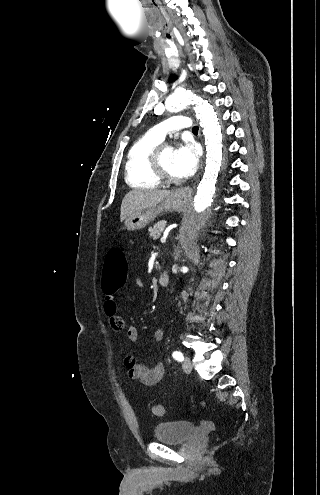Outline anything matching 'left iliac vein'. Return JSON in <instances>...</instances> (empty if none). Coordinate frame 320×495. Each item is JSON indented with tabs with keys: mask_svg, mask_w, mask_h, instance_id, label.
<instances>
[{
	"mask_svg": "<svg viewBox=\"0 0 320 495\" xmlns=\"http://www.w3.org/2000/svg\"><path fill=\"white\" fill-rule=\"evenodd\" d=\"M182 368H183V371L185 373H190L191 370H192V363H191V360L189 357H185L184 358V361H183V364H182Z\"/></svg>",
	"mask_w": 320,
	"mask_h": 495,
	"instance_id": "4c4485c4",
	"label": "left iliac vein"
}]
</instances>
